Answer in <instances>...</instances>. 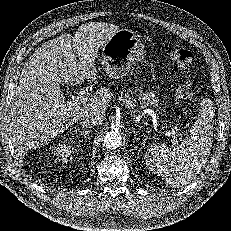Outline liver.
<instances>
[{
	"instance_id": "6515ba94",
	"label": "liver",
	"mask_w": 231,
	"mask_h": 231,
	"mask_svg": "<svg viewBox=\"0 0 231 231\" xmlns=\"http://www.w3.org/2000/svg\"><path fill=\"white\" fill-rule=\"evenodd\" d=\"M119 27L105 22L81 25L43 43L25 63L9 113L8 130L15 152L22 156L72 127L86 113L102 124L111 99L104 87L86 102L66 101L60 84L78 85L85 78L98 84L95 58ZM79 57V60L76 57Z\"/></svg>"
}]
</instances>
